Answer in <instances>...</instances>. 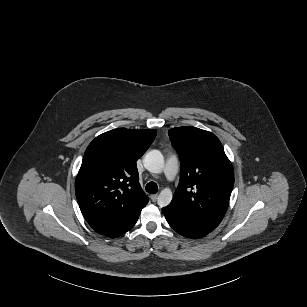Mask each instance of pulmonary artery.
I'll return each instance as SVG.
<instances>
[{
	"label": "pulmonary artery",
	"instance_id": "e3ab8cb5",
	"mask_svg": "<svg viewBox=\"0 0 307 307\" xmlns=\"http://www.w3.org/2000/svg\"><path fill=\"white\" fill-rule=\"evenodd\" d=\"M177 166H174L171 161L169 160L166 164V169H165V178L167 181L171 182L175 178L177 174Z\"/></svg>",
	"mask_w": 307,
	"mask_h": 307
}]
</instances>
